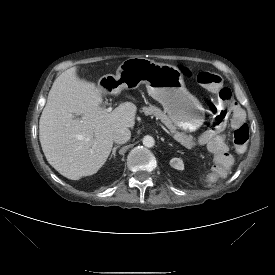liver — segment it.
Here are the masks:
<instances>
[{
	"instance_id": "liver-1",
	"label": "liver",
	"mask_w": 275,
	"mask_h": 275,
	"mask_svg": "<svg viewBox=\"0 0 275 275\" xmlns=\"http://www.w3.org/2000/svg\"><path fill=\"white\" fill-rule=\"evenodd\" d=\"M102 101V92L80 79L77 67L60 74L49 91L39 139L49 164L68 179L95 174L111 152L114 132L135 125V104L125 102L107 112Z\"/></svg>"
}]
</instances>
